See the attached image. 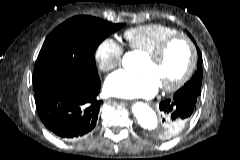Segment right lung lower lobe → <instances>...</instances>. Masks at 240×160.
I'll return each mask as SVG.
<instances>
[{
  "instance_id": "1",
  "label": "right lung lower lobe",
  "mask_w": 240,
  "mask_h": 160,
  "mask_svg": "<svg viewBox=\"0 0 240 160\" xmlns=\"http://www.w3.org/2000/svg\"><path fill=\"white\" fill-rule=\"evenodd\" d=\"M38 115L46 128L64 139H77L93 130L102 104L97 99L99 76L77 80L51 73L35 81Z\"/></svg>"
}]
</instances>
